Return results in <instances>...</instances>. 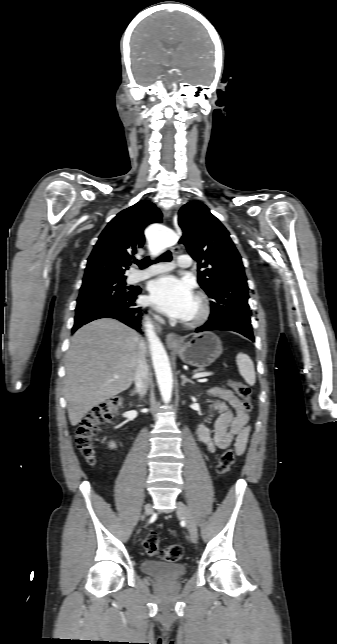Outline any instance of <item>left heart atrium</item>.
<instances>
[{
	"label": "left heart atrium",
	"instance_id": "left-heart-atrium-1",
	"mask_svg": "<svg viewBox=\"0 0 337 644\" xmlns=\"http://www.w3.org/2000/svg\"><path fill=\"white\" fill-rule=\"evenodd\" d=\"M151 304L163 314L186 319L194 301L191 286L171 275L161 276L150 285Z\"/></svg>",
	"mask_w": 337,
	"mask_h": 644
}]
</instances>
